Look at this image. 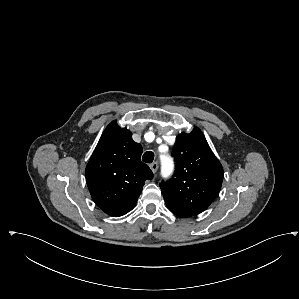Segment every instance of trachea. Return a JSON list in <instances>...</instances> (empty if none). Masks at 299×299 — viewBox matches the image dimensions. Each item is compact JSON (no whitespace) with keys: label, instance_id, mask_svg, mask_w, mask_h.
<instances>
[{"label":"trachea","instance_id":"1","mask_svg":"<svg viewBox=\"0 0 299 299\" xmlns=\"http://www.w3.org/2000/svg\"><path fill=\"white\" fill-rule=\"evenodd\" d=\"M142 159L145 163H152L154 160V153L151 151H147L144 153Z\"/></svg>","mask_w":299,"mask_h":299}]
</instances>
